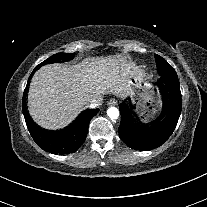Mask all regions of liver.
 Instances as JSON below:
<instances>
[{
	"instance_id": "1",
	"label": "liver",
	"mask_w": 207,
	"mask_h": 207,
	"mask_svg": "<svg viewBox=\"0 0 207 207\" xmlns=\"http://www.w3.org/2000/svg\"><path fill=\"white\" fill-rule=\"evenodd\" d=\"M127 64L119 56L89 58L73 66L53 63L33 75L27 96L33 121L47 130L68 126L98 96L125 97Z\"/></svg>"
}]
</instances>
